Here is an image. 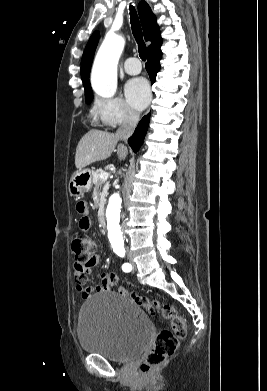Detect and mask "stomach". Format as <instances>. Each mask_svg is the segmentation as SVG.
<instances>
[{"mask_svg": "<svg viewBox=\"0 0 267 391\" xmlns=\"http://www.w3.org/2000/svg\"><path fill=\"white\" fill-rule=\"evenodd\" d=\"M93 171L90 169L79 170L74 173L69 182V193L72 197L79 198L89 192L93 183Z\"/></svg>", "mask_w": 267, "mask_h": 391, "instance_id": "stomach-1", "label": "stomach"}]
</instances>
